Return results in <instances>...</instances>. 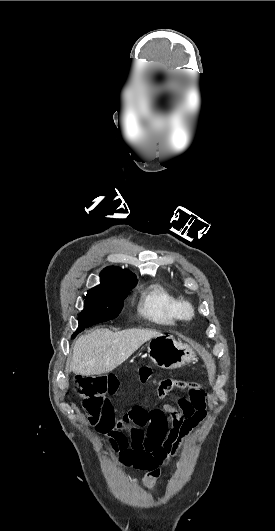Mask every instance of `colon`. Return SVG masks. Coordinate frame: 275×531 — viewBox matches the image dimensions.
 <instances>
[{"label": "colon", "instance_id": "obj_1", "mask_svg": "<svg viewBox=\"0 0 275 531\" xmlns=\"http://www.w3.org/2000/svg\"><path fill=\"white\" fill-rule=\"evenodd\" d=\"M103 378L95 374H79L72 380V387L77 391V396L82 401H87V409L84 412V419L89 424H96L101 420L102 404L101 399L107 389L108 378ZM159 391H155L153 399L155 402H164L166 399L165 392H177L180 384L177 381H160L158 384ZM182 390H188L189 384L182 383Z\"/></svg>", "mask_w": 275, "mask_h": 531}]
</instances>
